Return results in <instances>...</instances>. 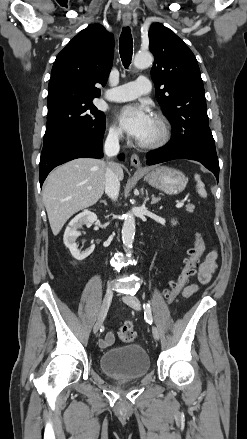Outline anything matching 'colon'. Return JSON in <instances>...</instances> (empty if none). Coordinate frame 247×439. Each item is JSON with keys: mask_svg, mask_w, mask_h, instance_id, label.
<instances>
[{"mask_svg": "<svg viewBox=\"0 0 247 439\" xmlns=\"http://www.w3.org/2000/svg\"><path fill=\"white\" fill-rule=\"evenodd\" d=\"M204 250L205 243L203 236L200 233H196L193 247L190 248L188 251L189 257L182 272L176 280L170 283L169 288L164 293L165 300L168 303H172L176 299L177 295L188 283L190 277L195 275L196 268L200 263V259L203 255ZM136 336L137 333L134 329L133 324L130 322L125 323L119 331V338L126 343L134 341Z\"/></svg>", "mask_w": 247, "mask_h": 439, "instance_id": "colon-1", "label": "colon"}]
</instances>
